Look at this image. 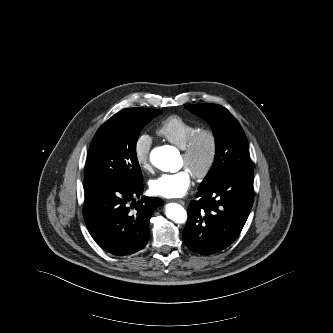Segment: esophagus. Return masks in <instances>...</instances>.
Segmentation results:
<instances>
[{"mask_svg": "<svg viewBox=\"0 0 333 333\" xmlns=\"http://www.w3.org/2000/svg\"><path fill=\"white\" fill-rule=\"evenodd\" d=\"M177 203H179L180 205H185V202L183 201V200H179V199H177V200H175Z\"/></svg>", "mask_w": 333, "mask_h": 333, "instance_id": "esophagus-1", "label": "esophagus"}]
</instances>
